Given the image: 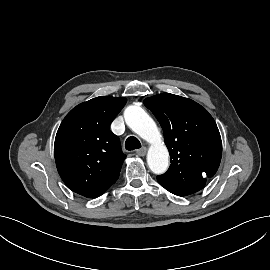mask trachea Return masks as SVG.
Wrapping results in <instances>:
<instances>
[{
	"label": "trachea",
	"instance_id": "1",
	"mask_svg": "<svg viewBox=\"0 0 270 270\" xmlns=\"http://www.w3.org/2000/svg\"><path fill=\"white\" fill-rule=\"evenodd\" d=\"M140 147H141V143L136 137L130 136L127 138L125 142V148L127 150L131 151V150L139 149Z\"/></svg>",
	"mask_w": 270,
	"mask_h": 270
}]
</instances>
